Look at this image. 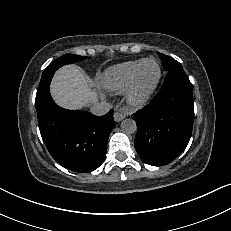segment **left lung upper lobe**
Masks as SVG:
<instances>
[{
  "mask_svg": "<svg viewBox=\"0 0 231 231\" xmlns=\"http://www.w3.org/2000/svg\"><path fill=\"white\" fill-rule=\"evenodd\" d=\"M158 55L162 60L165 71H169L173 68L181 66V64L178 61H176L175 59H173L171 57H168V56L161 54L159 52H158Z\"/></svg>",
  "mask_w": 231,
  "mask_h": 231,
  "instance_id": "1",
  "label": "left lung upper lobe"
}]
</instances>
